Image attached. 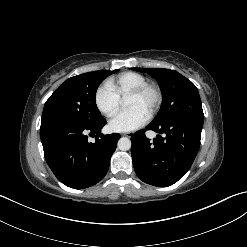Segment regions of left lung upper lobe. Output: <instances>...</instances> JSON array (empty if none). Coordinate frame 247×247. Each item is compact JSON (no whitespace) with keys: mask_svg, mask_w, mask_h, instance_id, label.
<instances>
[{"mask_svg":"<svg viewBox=\"0 0 247 247\" xmlns=\"http://www.w3.org/2000/svg\"><path fill=\"white\" fill-rule=\"evenodd\" d=\"M132 70L147 72L159 81L163 103L160 112L151 123L161 125L179 116L204 119L198 90L186 77L177 71L163 68H132Z\"/></svg>","mask_w":247,"mask_h":247,"instance_id":"5c2ea615","label":"left lung upper lobe"}]
</instances>
